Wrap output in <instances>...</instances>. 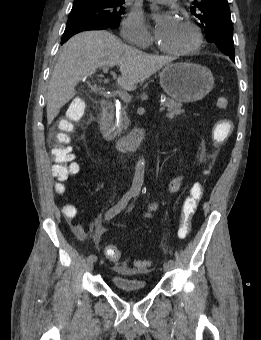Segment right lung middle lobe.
<instances>
[{
  "mask_svg": "<svg viewBox=\"0 0 261 340\" xmlns=\"http://www.w3.org/2000/svg\"><path fill=\"white\" fill-rule=\"evenodd\" d=\"M124 1H80L74 2L68 18L89 17L108 28H116L125 8Z\"/></svg>",
  "mask_w": 261,
  "mask_h": 340,
  "instance_id": "obj_1",
  "label": "right lung middle lobe"
}]
</instances>
